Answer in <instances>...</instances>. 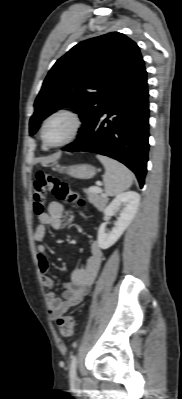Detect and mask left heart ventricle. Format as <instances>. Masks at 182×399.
<instances>
[{
  "instance_id": "1",
  "label": "left heart ventricle",
  "mask_w": 182,
  "mask_h": 399,
  "mask_svg": "<svg viewBox=\"0 0 182 399\" xmlns=\"http://www.w3.org/2000/svg\"><path fill=\"white\" fill-rule=\"evenodd\" d=\"M72 121L64 116L52 119L45 131L46 140L50 144H58L64 141L72 130Z\"/></svg>"
}]
</instances>
